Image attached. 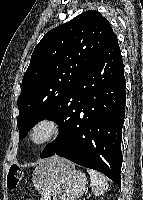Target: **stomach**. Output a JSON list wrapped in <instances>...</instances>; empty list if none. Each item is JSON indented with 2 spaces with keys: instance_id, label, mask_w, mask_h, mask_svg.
<instances>
[{
  "instance_id": "0dacf381",
  "label": "stomach",
  "mask_w": 143,
  "mask_h": 200,
  "mask_svg": "<svg viewBox=\"0 0 143 200\" xmlns=\"http://www.w3.org/2000/svg\"><path fill=\"white\" fill-rule=\"evenodd\" d=\"M85 173L73 166L62 167L50 177L40 200H78L87 188Z\"/></svg>"
}]
</instances>
